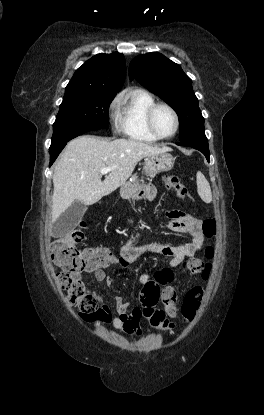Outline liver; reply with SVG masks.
Listing matches in <instances>:
<instances>
[{
    "mask_svg": "<svg viewBox=\"0 0 264 415\" xmlns=\"http://www.w3.org/2000/svg\"><path fill=\"white\" fill-rule=\"evenodd\" d=\"M169 150L133 139L107 141L85 135L71 140L54 168L51 222L75 201L98 202L125 184L141 159ZM105 167L114 169L101 181Z\"/></svg>",
    "mask_w": 264,
    "mask_h": 415,
    "instance_id": "1",
    "label": "liver"
}]
</instances>
